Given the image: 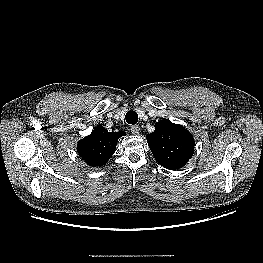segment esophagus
I'll return each instance as SVG.
<instances>
[{"mask_svg": "<svg viewBox=\"0 0 263 263\" xmlns=\"http://www.w3.org/2000/svg\"><path fill=\"white\" fill-rule=\"evenodd\" d=\"M139 131H140V129H139V126H138V125H133V126H131V132H132V134L138 135V134H139Z\"/></svg>", "mask_w": 263, "mask_h": 263, "instance_id": "34e87169", "label": "esophagus"}]
</instances>
